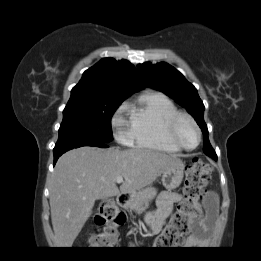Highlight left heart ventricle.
<instances>
[{
	"mask_svg": "<svg viewBox=\"0 0 261 261\" xmlns=\"http://www.w3.org/2000/svg\"><path fill=\"white\" fill-rule=\"evenodd\" d=\"M179 136L182 143L187 147H194L197 144L198 136L194 127L187 121H184L179 129Z\"/></svg>",
	"mask_w": 261,
	"mask_h": 261,
	"instance_id": "b2bd125f",
	"label": "left heart ventricle"
}]
</instances>
